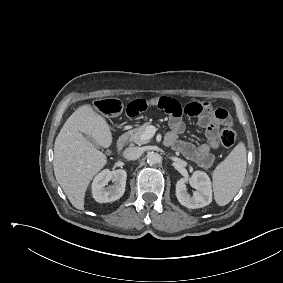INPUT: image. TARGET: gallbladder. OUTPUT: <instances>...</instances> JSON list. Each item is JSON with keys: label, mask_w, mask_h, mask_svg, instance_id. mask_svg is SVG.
Wrapping results in <instances>:
<instances>
[{"label": "gallbladder", "mask_w": 283, "mask_h": 283, "mask_svg": "<svg viewBox=\"0 0 283 283\" xmlns=\"http://www.w3.org/2000/svg\"><path fill=\"white\" fill-rule=\"evenodd\" d=\"M85 137H86L93 145H95L96 147H98V145L95 143V141H94L91 137H89V136H87V135H85Z\"/></svg>", "instance_id": "obj_1"}]
</instances>
